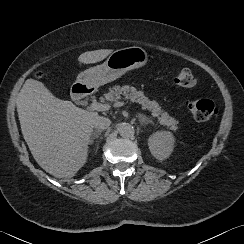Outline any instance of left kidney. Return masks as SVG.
<instances>
[{"instance_id":"left-kidney-1","label":"left kidney","mask_w":244,"mask_h":244,"mask_svg":"<svg viewBox=\"0 0 244 244\" xmlns=\"http://www.w3.org/2000/svg\"><path fill=\"white\" fill-rule=\"evenodd\" d=\"M175 138L169 131H157L148 139L151 154L158 160L167 159L173 152Z\"/></svg>"}]
</instances>
